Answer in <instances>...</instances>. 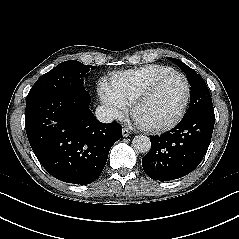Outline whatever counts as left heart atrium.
<instances>
[{
  "mask_svg": "<svg viewBox=\"0 0 239 239\" xmlns=\"http://www.w3.org/2000/svg\"><path fill=\"white\" fill-rule=\"evenodd\" d=\"M136 123L139 124L140 126L143 127L144 124H142L141 122H139L137 119H136Z\"/></svg>",
  "mask_w": 239,
  "mask_h": 239,
  "instance_id": "left-heart-atrium-1",
  "label": "left heart atrium"
}]
</instances>
